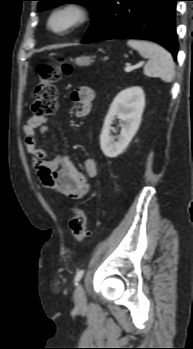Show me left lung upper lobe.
<instances>
[{
  "mask_svg": "<svg viewBox=\"0 0 193 349\" xmlns=\"http://www.w3.org/2000/svg\"><path fill=\"white\" fill-rule=\"evenodd\" d=\"M39 1L38 10L47 9L60 5L62 3H80L87 6L97 17L106 2V0H37Z\"/></svg>",
  "mask_w": 193,
  "mask_h": 349,
  "instance_id": "5c2ea615",
  "label": "left lung upper lobe"
}]
</instances>
